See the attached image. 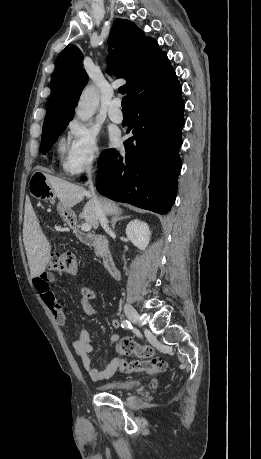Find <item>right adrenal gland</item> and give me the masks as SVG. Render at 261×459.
<instances>
[{"instance_id": "1", "label": "right adrenal gland", "mask_w": 261, "mask_h": 459, "mask_svg": "<svg viewBox=\"0 0 261 459\" xmlns=\"http://www.w3.org/2000/svg\"><path fill=\"white\" fill-rule=\"evenodd\" d=\"M131 218V216H121L120 214H114L112 216V229L114 230L115 229V225H116V222L120 221V220H124V219H129Z\"/></svg>"}]
</instances>
